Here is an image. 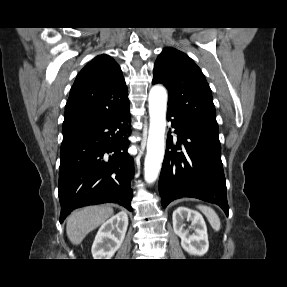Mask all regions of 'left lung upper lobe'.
Instances as JSON below:
<instances>
[{
    "mask_svg": "<svg viewBox=\"0 0 287 287\" xmlns=\"http://www.w3.org/2000/svg\"><path fill=\"white\" fill-rule=\"evenodd\" d=\"M152 83H162L167 88L168 110L219 140L211 89L188 55L171 47L164 48L155 62Z\"/></svg>",
    "mask_w": 287,
    "mask_h": 287,
    "instance_id": "obj_1",
    "label": "left lung upper lobe"
}]
</instances>
